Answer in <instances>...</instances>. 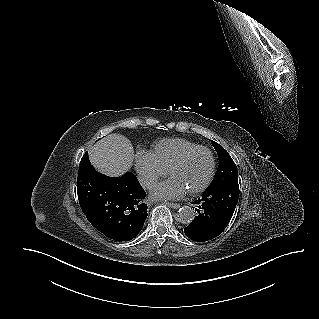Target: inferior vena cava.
<instances>
[{
	"mask_svg": "<svg viewBox=\"0 0 319 319\" xmlns=\"http://www.w3.org/2000/svg\"><path fill=\"white\" fill-rule=\"evenodd\" d=\"M140 183L144 187L149 188L150 186H152L155 183V180L153 178H150V177H143L140 179Z\"/></svg>",
	"mask_w": 319,
	"mask_h": 319,
	"instance_id": "602c4592",
	"label": "inferior vena cava"
}]
</instances>
